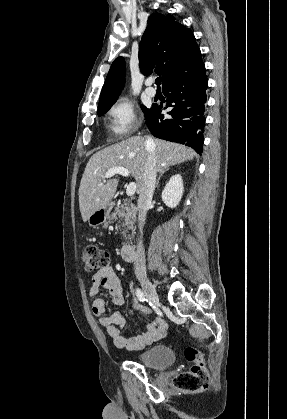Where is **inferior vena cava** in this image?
<instances>
[{"label":"inferior vena cava","mask_w":287,"mask_h":419,"mask_svg":"<svg viewBox=\"0 0 287 419\" xmlns=\"http://www.w3.org/2000/svg\"><path fill=\"white\" fill-rule=\"evenodd\" d=\"M145 144L148 151V157L145 163L143 183L139 191V197L137 202L139 222L138 227L140 229V232H142L146 220V214L152 202L158 171L156 156L152 150L154 146L153 139L149 136L146 137ZM134 271L135 275L138 277L146 275L145 254L141 241L137 244V256L134 263Z\"/></svg>","instance_id":"1"}]
</instances>
